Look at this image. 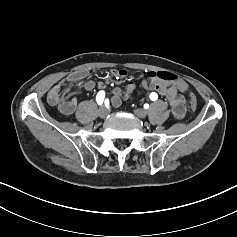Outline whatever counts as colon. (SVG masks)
<instances>
[{"label": "colon", "instance_id": "5ec220e1", "mask_svg": "<svg viewBox=\"0 0 237 237\" xmlns=\"http://www.w3.org/2000/svg\"><path fill=\"white\" fill-rule=\"evenodd\" d=\"M153 77L163 80V81H169V82H179L181 79L178 78L176 75L169 73V72H156L153 74ZM132 91L131 87L127 88V93H130ZM189 98H190V107L192 111H195L197 109V100L195 95L192 92H189Z\"/></svg>", "mask_w": 237, "mask_h": 237}]
</instances>
